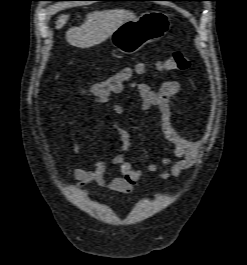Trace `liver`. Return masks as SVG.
Returning <instances> with one entry per match:
<instances>
[{
	"label": "liver",
	"instance_id": "6515ba94",
	"mask_svg": "<svg viewBox=\"0 0 247 265\" xmlns=\"http://www.w3.org/2000/svg\"><path fill=\"white\" fill-rule=\"evenodd\" d=\"M134 18V13L124 9L88 13L81 26L68 29L66 41L82 49L93 47L108 39L123 23ZM68 19L69 15H60L56 21V29H61Z\"/></svg>",
	"mask_w": 247,
	"mask_h": 265
}]
</instances>
